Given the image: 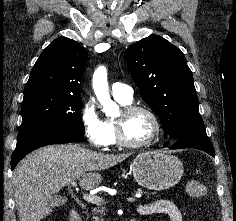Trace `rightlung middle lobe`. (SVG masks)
I'll use <instances>...</instances> for the list:
<instances>
[{"label": "right lung middle lobe", "mask_w": 236, "mask_h": 221, "mask_svg": "<svg viewBox=\"0 0 236 221\" xmlns=\"http://www.w3.org/2000/svg\"><path fill=\"white\" fill-rule=\"evenodd\" d=\"M81 103L80 95L54 92L25 94L20 131L36 126H52L83 132Z\"/></svg>", "instance_id": "right-lung-middle-lobe-1"}]
</instances>
